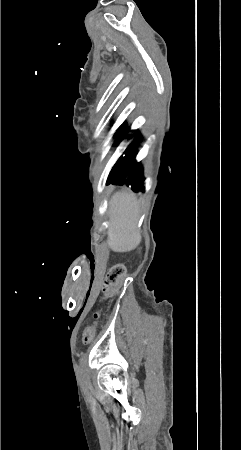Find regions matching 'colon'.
<instances>
[{"instance_id": "5ec220e1", "label": "colon", "mask_w": 241, "mask_h": 450, "mask_svg": "<svg viewBox=\"0 0 241 450\" xmlns=\"http://www.w3.org/2000/svg\"><path fill=\"white\" fill-rule=\"evenodd\" d=\"M125 274H126V267L122 263L115 264L109 271H107V273L104 276L103 282V292L105 296H108L109 294L115 292L118 289L119 283L123 279ZM102 303L104 305H107L109 303V300L107 298H104L102 300ZM94 318L96 320H99L101 318V315L96 312ZM93 338H94V327L90 325L86 328L84 332L82 343L83 346L86 348L89 347Z\"/></svg>"}]
</instances>
